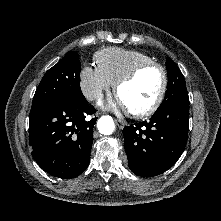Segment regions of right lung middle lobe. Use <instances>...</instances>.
<instances>
[{
	"label": "right lung middle lobe",
	"mask_w": 221,
	"mask_h": 221,
	"mask_svg": "<svg viewBox=\"0 0 221 221\" xmlns=\"http://www.w3.org/2000/svg\"><path fill=\"white\" fill-rule=\"evenodd\" d=\"M80 71L79 55L74 51H69L43 76L33 97L30 116L55 100L84 99L80 88Z\"/></svg>",
	"instance_id": "obj_1"
}]
</instances>
